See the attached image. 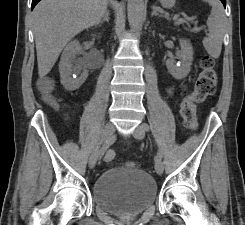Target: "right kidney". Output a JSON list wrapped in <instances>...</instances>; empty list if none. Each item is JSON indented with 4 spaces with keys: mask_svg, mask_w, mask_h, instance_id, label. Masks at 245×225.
Returning <instances> with one entry per match:
<instances>
[{
    "mask_svg": "<svg viewBox=\"0 0 245 225\" xmlns=\"http://www.w3.org/2000/svg\"><path fill=\"white\" fill-rule=\"evenodd\" d=\"M79 41L73 40L65 47L59 63L61 83L66 90L74 91L78 89L88 77L86 70L82 71V62L76 59L80 52Z\"/></svg>",
    "mask_w": 245,
    "mask_h": 225,
    "instance_id": "obj_1",
    "label": "right kidney"
}]
</instances>
